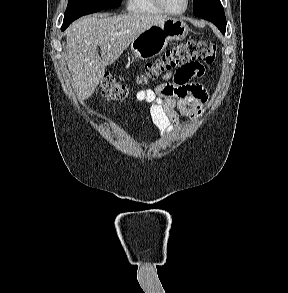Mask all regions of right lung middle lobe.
Wrapping results in <instances>:
<instances>
[{"instance_id":"dd1d6c3e","label":"right lung middle lobe","mask_w":288,"mask_h":293,"mask_svg":"<svg viewBox=\"0 0 288 293\" xmlns=\"http://www.w3.org/2000/svg\"><path fill=\"white\" fill-rule=\"evenodd\" d=\"M122 0H68L61 30H65L77 18L103 9L116 8Z\"/></svg>"}]
</instances>
